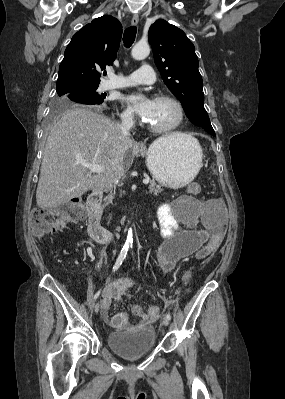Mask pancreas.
I'll return each mask as SVG.
<instances>
[{
  "label": "pancreas",
  "mask_w": 285,
  "mask_h": 399,
  "mask_svg": "<svg viewBox=\"0 0 285 399\" xmlns=\"http://www.w3.org/2000/svg\"><path fill=\"white\" fill-rule=\"evenodd\" d=\"M148 189H149V193H151L155 196H157L158 193H160L163 190L160 185L156 184L155 181L150 182ZM114 198H115V192H111L110 194H108L104 199L105 206H108L110 203H112Z\"/></svg>",
  "instance_id": "1"
}]
</instances>
